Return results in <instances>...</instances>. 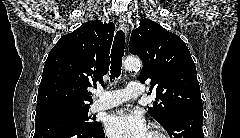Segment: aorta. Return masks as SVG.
Instances as JSON below:
<instances>
[{
    "label": "aorta",
    "instance_id": "obj_1",
    "mask_svg": "<svg viewBox=\"0 0 240 138\" xmlns=\"http://www.w3.org/2000/svg\"><path fill=\"white\" fill-rule=\"evenodd\" d=\"M124 67L129 71H137L141 68V61L138 58L127 57L124 61Z\"/></svg>",
    "mask_w": 240,
    "mask_h": 138
}]
</instances>
